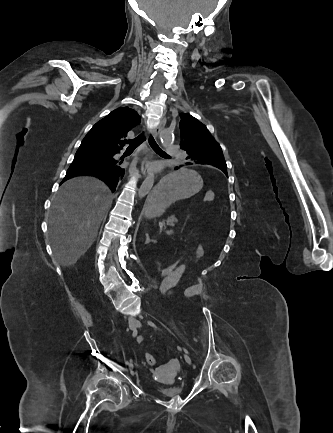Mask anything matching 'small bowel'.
Here are the masks:
<instances>
[{"label": "small bowel", "instance_id": "1", "mask_svg": "<svg viewBox=\"0 0 333 433\" xmlns=\"http://www.w3.org/2000/svg\"><path fill=\"white\" fill-rule=\"evenodd\" d=\"M204 254V249L203 246L201 244L197 245L195 248V255L197 259H201L203 257ZM186 270V263L183 264V266L181 267H176V270L173 271V276L172 277H166L165 280V284H162L161 281V286L160 289L162 291L163 294L167 295V296H173V288L176 286V284L178 283V281L180 280V278L182 277V275L184 274ZM204 293V284L202 283V281H199L198 283L188 287L187 289H185L184 291V297L187 299H191L194 297H199L202 296ZM144 340L143 336H139L137 338L138 342H142ZM154 374H157L156 371L153 372Z\"/></svg>", "mask_w": 333, "mask_h": 433}]
</instances>
